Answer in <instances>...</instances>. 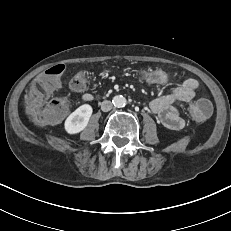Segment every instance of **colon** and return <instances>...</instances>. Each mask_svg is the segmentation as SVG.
Returning a JSON list of instances; mask_svg holds the SVG:
<instances>
[{
	"instance_id": "1",
	"label": "colon",
	"mask_w": 231,
	"mask_h": 231,
	"mask_svg": "<svg viewBox=\"0 0 231 231\" xmlns=\"http://www.w3.org/2000/svg\"><path fill=\"white\" fill-rule=\"evenodd\" d=\"M65 66L57 64L48 68L45 74H40L34 81V87L27 97V110L37 123H55L60 121L68 112L69 102L65 97L53 99L45 112L40 108L43 101V93H51L59 84V76L64 72ZM142 82L150 85L161 86L167 82V73L161 69L144 66L139 71ZM88 85V74L79 71L71 80V88L74 91H82ZM213 105L204 97L199 98L191 106V114L197 120L207 119L212 111Z\"/></svg>"
}]
</instances>
